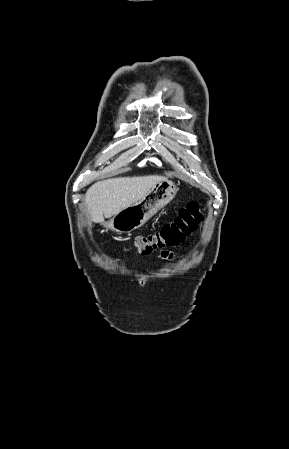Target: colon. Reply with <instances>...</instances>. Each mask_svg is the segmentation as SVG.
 <instances>
[{"mask_svg":"<svg viewBox=\"0 0 289 449\" xmlns=\"http://www.w3.org/2000/svg\"><path fill=\"white\" fill-rule=\"evenodd\" d=\"M202 220L203 214L199 203L190 202L180 210L172 222L165 224L159 231L137 236L134 247L138 253L147 255L156 249L177 246L198 228Z\"/></svg>","mask_w":289,"mask_h":449,"instance_id":"5ec220e1","label":"colon"}]
</instances>
